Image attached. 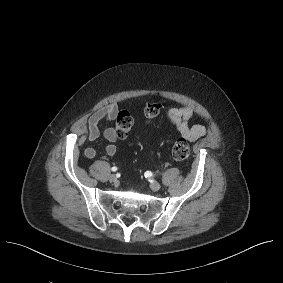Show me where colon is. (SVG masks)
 Masks as SVG:
<instances>
[{
  "label": "colon",
  "instance_id": "1",
  "mask_svg": "<svg viewBox=\"0 0 283 283\" xmlns=\"http://www.w3.org/2000/svg\"><path fill=\"white\" fill-rule=\"evenodd\" d=\"M162 104L160 102L148 103L144 109V117L147 122L153 121L160 113ZM133 117L128 111H121L117 115L115 123V131L119 138H125L131 131L133 126ZM190 146L188 142L180 138L176 140L172 147V156L178 161L182 162L189 157Z\"/></svg>",
  "mask_w": 283,
  "mask_h": 283
}]
</instances>
